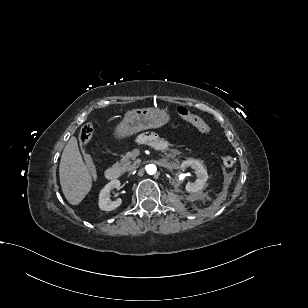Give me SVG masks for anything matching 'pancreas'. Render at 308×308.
Here are the masks:
<instances>
[{"label": "pancreas", "instance_id": "1", "mask_svg": "<svg viewBox=\"0 0 308 308\" xmlns=\"http://www.w3.org/2000/svg\"><path fill=\"white\" fill-rule=\"evenodd\" d=\"M140 160L135 159L132 152H128L125 155L122 156V159L120 162H117L115 164L116 167H119L122 171H131L137 167Z\"/></svg>", "mask_w": 308, "mask_h": 308}]
</instances>
